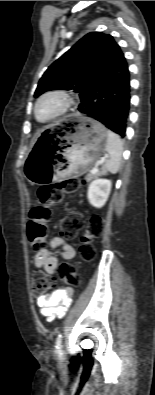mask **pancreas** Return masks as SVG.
<instances>
[{"label":"pancreas","mask_w":155,"mask_h":395,"mask_svg":"<svg viewBox=\"0 0 155 395\" xmlns=\"http://www.w3.org/2000/svg\"><path fill=\"white\" fill-rule=\"evenodd\" d=\"M102 173H103V171H99V172H96V173H90V174L87 175V178L89 180L90 179H94V178L98 177L99 175H101Z\"/></svg>","instance_id":"obj_1"}]
</instances>
